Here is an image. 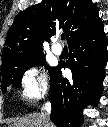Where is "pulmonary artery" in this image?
<instances>
[{"instance_id":"pulmonary-artery-1","label":"pulmonary artery","mask_w":108,"mask_h":127,"mask_svg":"<svg viewBox=\"0 0 108 127\" xmlns=\"http://www.w3.org/2000/svg\"><path fill=\"white\" fill-rule=\"evenodd\" d=\"M52 52L55 54V55H61L62 52H63V49L61 47V45H59L58 43H55L53 46H52Z\"/></svg>"}]
</instances>
